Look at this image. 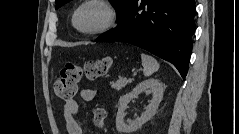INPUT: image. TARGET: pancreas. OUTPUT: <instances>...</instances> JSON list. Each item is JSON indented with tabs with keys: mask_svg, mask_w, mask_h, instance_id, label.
<instances>
[{
	"mask_svg": "<svg viewBox=\"0 0 239 134\" xmlns=\"http://www.w3.org/2000/svg\"><path fill=\"white\" fill-rule=\"evenodd\" d=\"M132 80L133 79L119 78L116 82H110V86L112 89L119 91L125 86H127L129 83H131Z\"/></svg>",
	"mask_w": 239,
	"mask_h": 134,
	"instance_id": "1",
	"label": "pancreas"
}]
</instances>
